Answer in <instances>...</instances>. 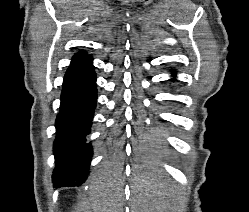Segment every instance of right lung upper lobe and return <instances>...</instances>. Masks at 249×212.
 <instances>
[{
    "label": "right lung upper lobe",
    "instance_id": "cb5924a9",
    "mask_svg": "<svg viewBox=\"0 0 249 212\" xmlns=\"http://www.w3.org/2000/svg\"><path fill=\"white\" fill-rule=\"evenodd\" d=\"M84 57H86V53L85 52H79V53H77L76 55L73 56L72 62L83 59Z\"/></svg>",
    "mask_w": 249,
    "mask_h": 212
}]
</instances>
